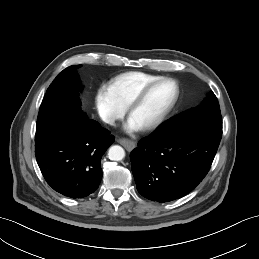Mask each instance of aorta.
Returning a JSON list of instances; mask_svg holds the SVG:
<instances>
[{"label": "aorta", "mask_w": 259, "mask_h": 259, "mask_svg": "<svg viewBox=\"0 0 259 259\" xmlns=\"http://www.w3.org/2000/svg\"><path fill=\"white\" fill-rule=\"evenodd\" d=\"M108 157L113 161H121L125 157V151L121 146L114 145L110 147Z\"/></svg>", "instance_id": "aorta-1"}]
</instances>
